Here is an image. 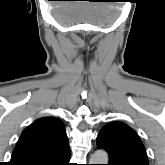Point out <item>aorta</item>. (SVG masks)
Returning a JSON list of instances; mask_svg holds the SVG:
<instances>
[{"label":"aorta","instance_id":"aorta-1","mask_svg":"<svg viewBox=\"0 0 165 165\" xmlns=\"http://www.w3.org/2000/svg\"><path fill=\"white\" fill-rule=\"evenodd\" d=\"M108 154L104 150H97L90 158V164H108Z\"/></svg>","mask_w":165,"mask_h":165}]
</instances>
